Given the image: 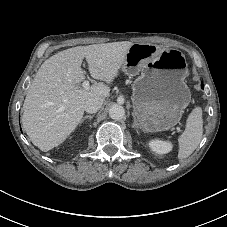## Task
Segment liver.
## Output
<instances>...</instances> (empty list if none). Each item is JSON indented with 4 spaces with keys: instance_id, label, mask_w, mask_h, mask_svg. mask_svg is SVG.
<instances>
[{
    "instance_id": "liver-1",
    "label": "liver",
    "mask_w": 227,
    "mask_h": 227,
    "mask_svg": "<svg viewBox=\"0 0 227 227\" xmlns=\"http://www.w3.org/2000/svg\"><path fill=\"white\" fill-rule=\"evenodd\" d=\"M132 44L77 46L41 65L24 100L22 116L24 130L35 146L49 151L63 143L80 124L86 101L109 96L108 84L118 75ZM84 58L91 77L107 84L95 83L88 89L79 86L85 80Z\"/></svg>"
}]
</instances>
